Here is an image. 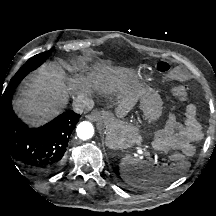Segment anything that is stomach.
Segmentation results:
<instances>
[{
  "label": "stomach",
  "instance_id": "1",
  "mask_svg": "<svg viewBox=\"0 0 216 216\" xmlns=\"http://www.w3.org/2000/svg\"><path fill=\"white\" fill-rule=\"evenodd\" d=\"M140 108L149 123H155L162 115V100L152 89H145L140 96ZM106 145L112 149H127L132 147L138 136L137 128L121 121H110L105 126Z\"/></svg>",
  "mask_w": 216,
  "mask_h": 216
}]
</instances>
